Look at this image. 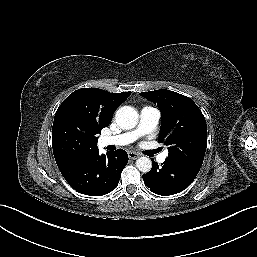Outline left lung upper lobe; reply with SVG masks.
<instances>
[{
  "label": "left lung upper lobe",
  "mask_w": 257,
  "mask_h": 257,
  "mask_svg": "<svg viewBox=\"0 0 257 257\" xmlns=\"http://www.w3.org/2000/svg\"><path fill=\"white\" fill-rule=\"evenodd\" d=\"M157 104L162 115L159 142L169 145L170 158L202 166L207 147L206 120L192 99L160 89L140 93Z\"/></svg>",
  "instance_id": "obj_1"
}]
</instances>
